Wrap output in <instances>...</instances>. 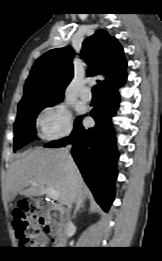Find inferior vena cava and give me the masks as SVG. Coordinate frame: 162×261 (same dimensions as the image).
<instances>
[{
	"label": "inferior vena cava",
	"mask_w": 162,
	"mask_h": 261,
	"mask_svg": "<svg viewBox=\"0 0 162 261\" xmlns=\"http://www.w3.org/2000/svg\"><path fill=\"white\" fill-rule=\"evenodd\" d=\"M70 149H71V146H67V149H66V152H67V155H68V161H67V165L68 167L70 168V174H69V182L71 184V187H70V191H69V194H68V199H69V202L67 204L68 206V209L66 210L67 212V223H66V230L69 229V227L71 226V220H70V215H69V210L71 208V205H72V202L74 200V196H75V192H74V183H75V174H74V161H73V158L70 154Z\"/></svg>",
	"instance_id": "obj_1"
}]
</instances>
